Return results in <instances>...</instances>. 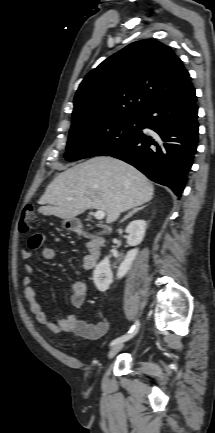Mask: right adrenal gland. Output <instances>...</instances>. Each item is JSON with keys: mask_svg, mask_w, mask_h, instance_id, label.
Returning <instances> with one entry per match:
<instances>
[{"mask_svg": "<svg viewBox=\"0 0 215 433\" xmlns=\"http://www.w3.org/2000/svg\"><path fill=\"white\" fill-rule=\"evenodd\" d=\"M147 205L139 207V208H135L133 209L131 212H129L121 221L120 223L124 222L125 220H127L128 218H130L131 216H133V214H135L136 212L144 209Z\"/></svg>", "mask_w": 215, "mask_h": 433, "instance_id": "1", "label": "right adrenal gland"}]
</instances>
